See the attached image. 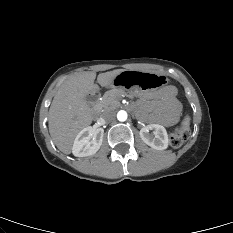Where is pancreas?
Listing matches in <instances>:
<instances>
[{
    "instance_id": "obj_1",
    "label": "pancreas",
    "mask_w": 233,
    "mask_h": 233,
    "mask_svg": "<svg viewBox=\"0 0 233 233\" xmlns=\"http://www.w3.org/2000/svg\"><path fill=\"white\" fill-rule=\"evenodd\" d=\"M125 95L121 89H114L107 91L100 101V106L103 110H114L120 105V100Z\"/></svg>"
}]
</instances>
